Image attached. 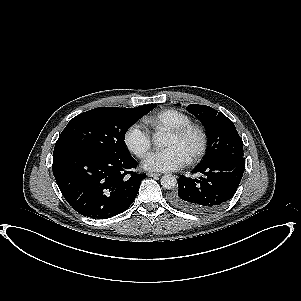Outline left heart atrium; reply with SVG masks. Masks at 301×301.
Wrapping results in <instances>:
<instances>
[{"instance_id":"left-heart-atrium-1","label":"left heart atrium","mask_w":301,"mask_h":301,"mask_svg":"<svg viewBox=\"0 0 301 301\" xmlns=\"http://www.w3.org/2000/svg\"><path fill=\"white\" fill-rule=\"evenodd\" d=\"M185 158L172 149L150 153L145 157L144 168L151 171L167 172L180 169Z\"/></svg>"}]
</instances>
